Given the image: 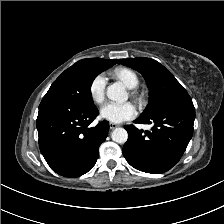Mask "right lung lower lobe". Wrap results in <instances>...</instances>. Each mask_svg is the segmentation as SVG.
<instances>
[{"label": "right lung lower lobe", "instance_id": "1", "mask_svg": "<svg viewBox=\"0 0 224 224\" xmlns=\"http://www.w3.org/2000/svg\"><path fill=\"white\" fill-rule=\"evenodd\" d=\"M96 107H77L54 97H43L37 117L39 147L53 171L65 177L87 173L96 163L109 123L89 125L97 117Z\"/></svg>", "mask_w": 224, "mask_h": 224}]
</instances>
